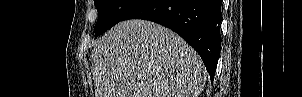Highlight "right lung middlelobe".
I'll return each mask as SVG.
<instances>
[{
    "mask_svg": "<svg viewBox=\"0 0 302 97\" xmlns=\"http://www.w3.org/2000/svg\"><path fill=\"white\" fill-rule=\"evenodd\" d=\"M141 0H94L98 10V20L94 28L99 36L118 22L122 21L125 14Z\"/></svg>",
    "mask_w": 302,
    "mask_h": 97,
    "instance_id": "obj_1",
    "label": "right lung middle lobe"
}]
</instances>
